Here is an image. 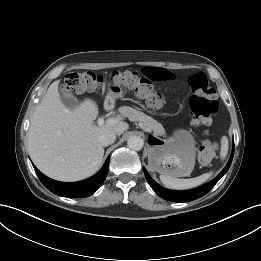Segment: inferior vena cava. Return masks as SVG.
Instances as JSON below:
<instances>
[{"mask_svg":"<svg viewBox=\"0 0 261 261\" xmlns=\"http://www.w3.org/2000/svg\"><path fill=\"white\" fill-rule=\"evenodd\" d=\"M116 134L114 132H107L99 137V142L102 146H108L114 143Z\"/></svg>","mask_w":261,"mask_h":261,"instance_id":"inferior-vena-cava-1","label":"inferior vena cava"}]
</instances>
